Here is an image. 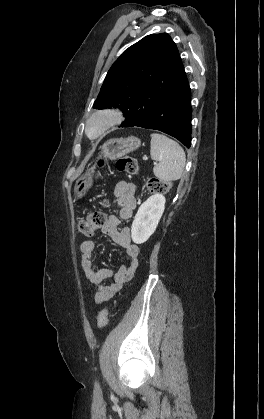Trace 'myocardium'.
<instances>
[{"label": "myocardium", "mask_w": 264, "mask_h": 419, "mask_svg": "<svg viewBox=\"0 0 264 419\" xmlns=\"http://www.w3.org/2000/svg\"><path fill=\"white\" fill-rule=\"evenodd\" d=\"M124 119V114L121 109L116 107H107L96 110L87 119L85 125V133L91 140H97L103 137L111 128L119 125ZM97 123L99 128L95 134L90 133V128Z\"/></svg>", "instance_id": "obj_1"}]
</instances>
